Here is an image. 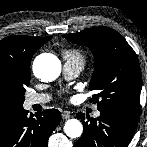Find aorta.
<instances>
[{
    "label": "aorta",
    "mask_w": 147,
    "mask_h": 147,
    "mask_svg": "<svg viewBox=\"0 0 147 147\" xmlns=\"http://www.w3.org/2000/svg\"><path fill=\"white\" fill-rule=\"evenodd\" d=\"M33 72L42 81L51 82L59 77L61 62L53 54H40L33 62ZM64 132L70 138H78L83 133V125L77 119H69L64 125Z\"/></svg>",
    "instance_id": "1"
}]
</instances>
